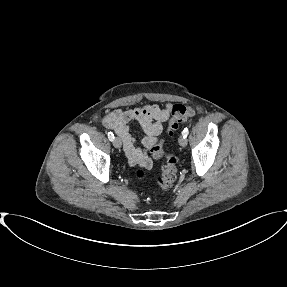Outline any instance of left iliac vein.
Returning <instances> with one entry per match:
<instances>
[{"label":"left iliac vein","instance_id":"1","mask_svg":"<svg viewBox=\"0 0 287 287\" xmlns=\"http://www.w3.org/2000/svg\"><path fill=\"white\" fill-rule=\"evenodd\" d=\"M179 144L182 147H185L187 145V139L183 135L179 137Z\"/></svg>","mask_w":287,"mask_h":287}]
</instances>
